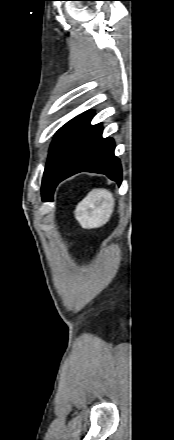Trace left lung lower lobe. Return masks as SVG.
Masks as SVG:
<instances>
[{
  "mask_svg": "<svg viewBox=\"0 0 174 440\" xmlns=\"http://www.w3.org/2000/svg\"><path fill=\"white\" fill-rule=\"evenodd\" d=\"M92 117L85 125L71 154L56 178L53 192L59 182L76 173L87 171L107 175L111 180L121 184L122 170L120 161L114 156V141L102 138V125H90ZM53 193L47 199L51 200Z\"/></svg>",
  "mask_w": 174,
  "mask_h": 440,
  "instance_id": "obj_1",
  "label": "left lung lower lobe"
}]
</instances>
